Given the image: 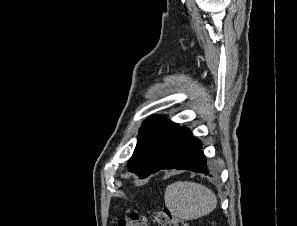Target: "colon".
I'll return each mask as SVG.
<instances>
[{
  "label": "colon",
  "instance_id": "colon-1",
  "mask_svg": "<svg viewBox=\"0 0 297 226\" xmlns=\"http://www.w3.org/2000/svg\"><path fill=\"white\" fill-rule=\"evenodd\" d=\"M150 223L157 226H188L185 220L174 216L167 209L156 211L151 216L129 213L115 219L116 226H149Z\"/></svg>",
  "mask_w": 297,
  "mask_h": 226
}]
</instances>
